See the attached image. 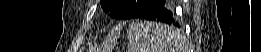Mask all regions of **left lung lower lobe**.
I'll return each mask as SVG.
<instances>
[{"label":"left lung lower lobe","instance_id":"obj_1","mask_svg":"<svg viewBox=\"0 0 261 52\" xmlns=\"http://www.w3.org/2000/svg\"><path fill=\"white\" fill-rule=\"evenodd\" d=\"M164 0H155V2L145 9L137 18L140 19H150V20H158L167 24H174L177 26L175 22L172 12L164 7ZM172 31V28H169ZM171 37V36H169Z\"/></svg>","mask_w":261,"mask_h":52}]
</instances>
